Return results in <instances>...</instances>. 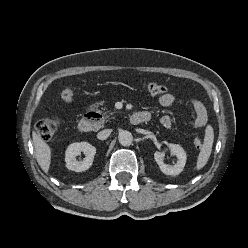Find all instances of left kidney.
<instances>
[{
    "instance_id": "left-kidney-1",
    "label": "left kidney",
    "mask_w": 248,
    "mask_h": 248,
    "mask_svg": "<svg viewBox=\"0 0 248 248\" xmlns=\"http://www.w3.org/2000/svg\"><path fill=\"white\" fill-rule=\"evenodd\" d=\"M171 153L177 157V163L174 165H168L164 163V153L156 151L154 153V159L159 165L161 171L170 176H176L179 175L185 166L186 163V153L184 149L180 145L172 144L170 143L168 145Z\"/></svg>"
}]
</instances>
